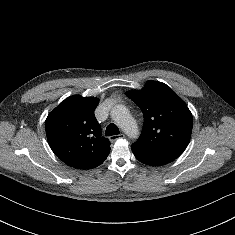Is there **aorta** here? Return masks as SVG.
Instances as JSON below:
<instances>
[{"label":"aorta","mask_w":235,"mask_h":235,"mask_svg":"<svg viewBox=\"0 0 235 235\" xmlns=\"http://www.w3.org/2000/svg\"><path fill=\"white\" fill-rule=\"evenodd\" d=\"M113 121L130 137H135L138 133L137 125L128 108L124 105H116L111 110Z\"/></svg>","instance_id":"1"}]
</instances>
